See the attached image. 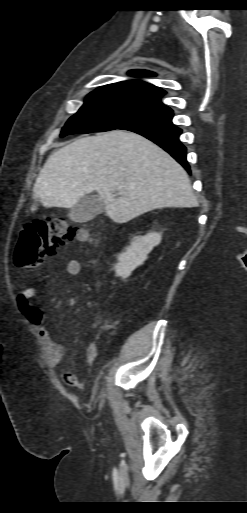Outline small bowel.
<instances>
[{
  "mask_svg": "<svg viewBox=\"0 0 247 513\" xmlns=\"http://www.w3.org/2000/svg\"><path fill=\"white\" fill-rule=\"evenodd\" d=\"M80 270L81 263L78 259L71 258L67 260L65 265V272L68 275L77 276L80 273ZM36 292L37 290L34 287H27L23 289L17 297L18 306L25 318L38 329L40 337L46 344L47 364L51 367H56L64 358L65 349L61 344L52 339L50 332L45 326L44 312L31 303V300L36 295ZM97 357V348L94 345H89L85 350V361L88 364H92L95 362ZM63 379L66 384L74 387H79L81 384L76 375L72 372H65L63 374Z\"/></svg>",
  "mask_w": 247,
  "mask_h": 513,
  "instance_id": "c3829d8e",
  "label": "small bowel"
}]
</instances>
